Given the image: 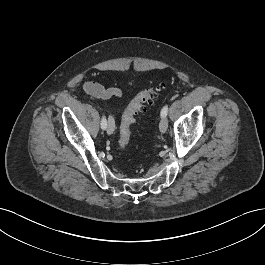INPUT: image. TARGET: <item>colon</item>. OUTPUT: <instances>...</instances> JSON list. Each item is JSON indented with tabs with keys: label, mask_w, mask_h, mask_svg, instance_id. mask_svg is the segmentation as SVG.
I'll return each mask as SVG.
<instances>
[{
	"label": "colon",
	"mask_w": 265,
	"mask_h": 265,
	"mask_svg": "<svg viewBox=\"0 0 265 265\" xmlns=\"http://www.w3.org/2000/svg\"><path fill=\"white\" fill-rule=\"evenodd\" d=\"M160 87H152L141 91L126 108L119 129L118 146L124 149L131 137V127L138 113L145 112L147 104H152L158 98Z\"/></svg>",
	"instance_id": "colon-1"
}]
</instances>
